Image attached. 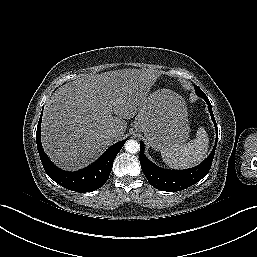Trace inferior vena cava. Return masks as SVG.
<instances>
[{
	"label": "inferior vena cava",
	"instance_id": "inferior-vena-cava-1",
	"mask_svg": "<svg viewBox=\"0 0 257 257\" xmlns=\"http://www.w3.org/2000/svg\"><path fill=\"white\" fill-rule=\"evenodd\" d=\"M106 137L109 139H113L116 137V131L115 130H108L106 132Z\"/></svg>",
	"mask_w": 257,
	"mask_h": 257
}]
</instances>
